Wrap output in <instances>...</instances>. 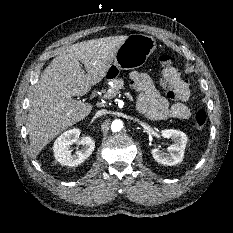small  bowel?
I'll use <instances>...</instances> for the list:
<instances>
[{"label":"small bowel","instance_id":"c3829d8e","mask_svg":"<svg viewBox=\"0 0 233 233\" xmlns=\"http://www.w3.org/2000/svg\"><path fill=\"white\" fill-rule=\"evenodd\" d=\"M131 85L139 91L137 98L138 109L150 119H180L187 120L191 117V110L187 106L190 98L188 83L182 78L176 84L180 98L173 104L161 95L156 89L150 76L143 72L130 73Z\"/></svg>","mask_w":233,"mask_h":233}]
</instances>
